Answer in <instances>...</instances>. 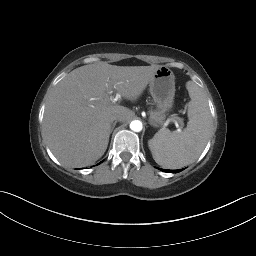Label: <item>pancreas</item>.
I'll return each mask as SVG.
<instances>
[{
    "instance_id": "pancreas-1",
    "label": "pancreas",
    "mask_w": 256,
    "mask_h": 256,
    "mask_svg": "<svg viewBox=\"0 0 256 256\" xmlns=\"http://www.w3.org/2000/svg\"><path fill=\"white\" fill-rule=\"evenodd\" d=\"M165 119V114L163 111H151L150 112V123L156 126L161 125Z\"/></svg>"
}]
</instances>
